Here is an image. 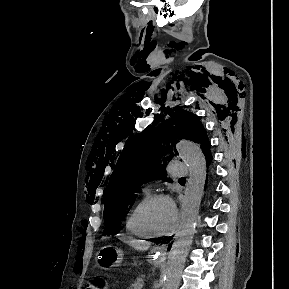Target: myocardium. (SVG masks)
I'll list each match as a JSON object with an SVG mask.
<instances>
[{
	"instance_id": "obj_1",
	"label": "myocardium",
	"mask_w": 289,
	"mask_h": 289,
	"mask_svg": "<svg viewBox=\"0 0 289 289\" xmlns=\"http://www.w3.org/2000/svg\"><path fill=\"white\" fill-rule=\"evenodd\" d=\"M159 200H168L171 202L168 195L164 193H155L152 195H149V197L144 202L140 212H139V221L143 229L151 236V237H163L171 234L177 227L178 224V214L176 209L173 206L174 211V220L172 225L165 231H157L151 227V225L148 222V213L151 208V206L159 201Z\"/></svg>"
}]
</instances>
